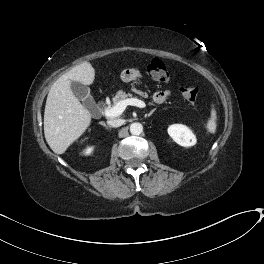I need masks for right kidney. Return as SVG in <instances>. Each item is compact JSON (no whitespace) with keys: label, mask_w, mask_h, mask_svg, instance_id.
<instances>
[{"label":"right kidney","mask_w":264,"mask_h":264,"mask_svg":"<svg viewBox=\"0 0 264 264\" xmlns=\"http://www.w3.org/2000/svg\"><path fill=\"white\" fill-rule=\"evenodd\" d=\"M93 151V147H88L85 149L84 154L89 155Z\"/></svg>","instance_id":"1"}]
</instances>
